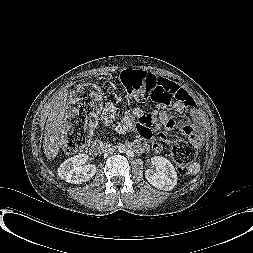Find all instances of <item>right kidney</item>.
Returning a JSON list of instances; mask_svg holds the SVG:
<instances>
[{"label": "right kidney", "instance_id": "right-kidney-1", "mask_svg": "<svg viewBox=\"0 0 253 253\" xmlns=\"http://www.w3.org/2000/svg\"><path fill=\"white\" fill-rule=\"evenodd\" d=\"M87 154H78L65 160L58 168V176L66 182L81 184L90 180L96 173V166L86 164Z\"/></svg>", "mask_w": 253, "mask_h": 253}]
</instances>
